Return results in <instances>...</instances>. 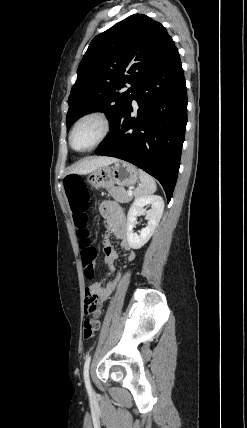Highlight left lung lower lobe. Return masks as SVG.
Instances as JSON below:
<instances>
[{
	"label": "left lung lower lobe",
	"instance_id": "obj_1",
	"mask_svg": "<svg viewBox=\"0 0 247 428\" xmlns=\"http://www.w3.org/2000/svg\"><path fill=\"white\" fill-rule=\"evenodd\" d=\"M133 100L138 105L135 115ZM187 102L176 48L140 82L95 153L128 161L152 175L162 184L169 202L180 166Z\"/></svg>",
	"mask_w": 247,
	"mask_h": 428
}]
</instances>
